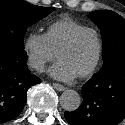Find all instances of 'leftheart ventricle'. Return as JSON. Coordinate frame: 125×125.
Wrapping results in <instances>:
<instances>
[{"label": "left heart ventricle", "instance_id": "1", "mask_svg": "<svg viewBox=\"0 0 125 125\" xmlns=\"http://www.w3.org/2000/svg\"><path fill=\"white\" fill-rule=\"evenodd\" d=\"M97 53V40L93 33L82 34L74 45L59 54V60L77 76L86 71L93 63Z\"/></svg>", "mask_w": 125, "mask_h": 125}]
</instances>
